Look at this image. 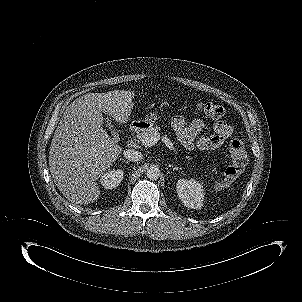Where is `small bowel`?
Returning a JSON list of instances; mask_svg holds the SVG:
<instances>
[{"label": "small bowel", "instance_id": "small-bowel-1", "mask_svg": "<svg viewBox=\"0 0 302 302\" xmlns=\"http://www.w3.org/2000/svg\"><path fill=\"white\" fill-rule=\"evenodd\" d=\"M171 125L179 141L187 149L212 150L218 148L233 133L232 126L222 120L216 121L212 126L213 133L207 135H200L204 129V123L199 119L187 122L181 116H174Z\"/></svg>", "mask_w": 302, "mask_h": 302}]
</instances>
